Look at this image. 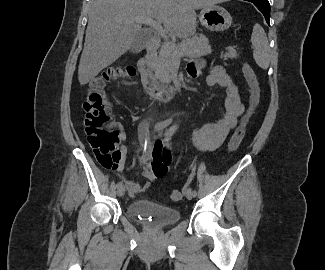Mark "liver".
Listing matches in <instances>:
<instances>
[{"mask_svg": "<svg viewBox=\"0 0 325 270\" xmlns=\"http://www.w3.org/2000/svg\"><path fill=\"white\" fill-rule=\"evenodd\" d=\"M215 0H90L78 81L86 85L132 46L142 30L137 17H150L181 39L196 32L195 9Z\"/></svg>", "mask_w": 325, "mask_h": 270, "instance_id": "obj_1", "label": "liver"}]
</instances>
